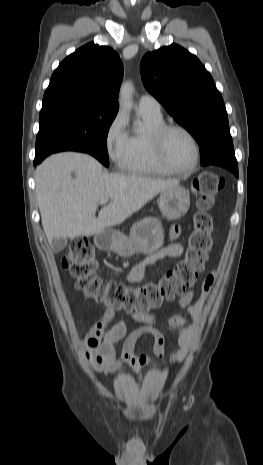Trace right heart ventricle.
Listing matches in <instances>:
<instances>
[{"instance_id": "1", "label": "right heart ventricle", "mask_w": 263, "mask_h": 465, "mask_svg": "<svg viewBox=\"0 0 263 465\" xmlns=\"http://www.w3.org/2000/svg\"><path fill=\"white\" fill-rule=\"evenodd\" d=\"M144 120V130L133 132L128 140V154L124 169L132 174L167 175L155 160L150 141L151 132L162 125V116L140 114Z\"/></svg>"}]
</instances>
